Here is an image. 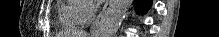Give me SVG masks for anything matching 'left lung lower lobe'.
Masks as SVG:
<instances>
[{"instance_id": "1", "label": "left lung lower lobe", "mask_w": 219, "mask_h": 37, "mask_svg": "<svg viewBox=\"0 0 219 37\" xmlns=\"http://www.w3.org/2000/svg\"><path fill=\"white\" fill-rule=\"evenodd\" d=\"M151 4V0H135V8L141 14L147 12Z\"/></svg>"}]
</instances>
